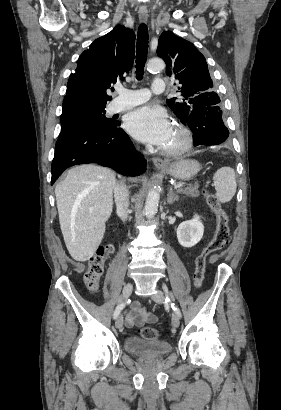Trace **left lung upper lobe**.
I'll list each match as a JSON object with an SVG mask.
<instances>
[{
	"instance_id": "obj_1",
	"label": "left lung upper lobe",
	"mask_w": 281,
	"mask_h": 410,
	"mask_svg": "<svg viewBox=\"0 0 281 410\" xmlns=\"http://www.w3.org/2000/svg\"><path fill=\"white\" fill-rule=\"evenodd\" d=\"M157 55L166 63V74L180 84L182 98L166 102L182 123L194 107L219 105L205 57L191 42L165 31L159 38Z\"/></svg>"
}]
</instances>
